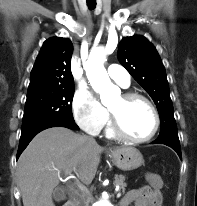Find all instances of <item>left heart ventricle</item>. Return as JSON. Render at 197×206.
Returning <instances> with one entry per match:
<instances>
[{
    "label": "left heart ventricle",
    "instance_id": "obj_1",
    "mask_svg": "<svg viewBox=\"0 0 197 206\" xmlns=\"http://www.w3.org/2000/svg\"><path fill=\"white\" fill-rule=\"evenodd\" d=\"M109 109L118 116L123 128L134 137H146L154 127L153 113L143 101H124L119 96L112 101Z\"/></svg>",
    "mask_w": 197,
    "mask_h": 206
}]
</instances>
